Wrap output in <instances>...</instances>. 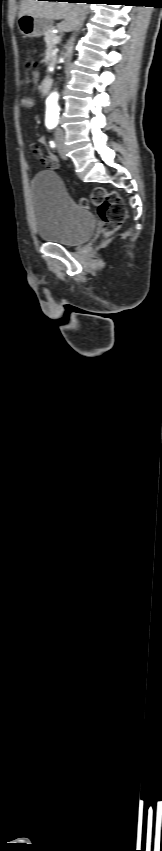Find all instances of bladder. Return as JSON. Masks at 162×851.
<instances>
[{
	"label": "bladder",
	"mask_w": 162,
	"mask_h": 851,
	"mask_svg": "<svg viewBox=\"0 0 162 851\" xmlns=\"http://www.w3.org/2000/svg\"><path fill=\"white\" fill-rule=\"evenodd\" d=\"M38 236L50 243L76 246L90 238L96 225L94 214L77 204L61 178L52 171L38 173L31 182Z\"/></svg>",
	"instance_id": "31cf9c89"
}]
</instances>
